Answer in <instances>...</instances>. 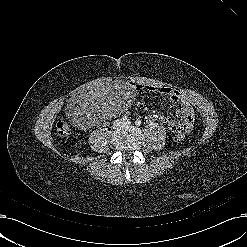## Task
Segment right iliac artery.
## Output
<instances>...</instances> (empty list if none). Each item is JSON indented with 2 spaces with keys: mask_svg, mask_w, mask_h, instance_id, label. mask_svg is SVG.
<instances>
[{
  "mask_svg": "<svg viewBox=\"0 0 247 247\" xmlns=\"http://www.w3.org/2000/svg\"><path fill=\"white\" fill-rule=\"evenodd\" d=\"M122 119H123V120H128V117L124 116Z\"/></svg>",
  "mask_w": 247,
  "mask_h": 247,
  "instance_id": "1",
  "label": "right iliac artery"
}]
</instances>
